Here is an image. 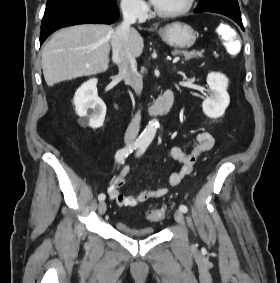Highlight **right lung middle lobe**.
<instances>
[{"mask_svg": "<svg viewBox=\"0 0 280 283\" xmlns=\"http://www.w3.org/2000/svg\"><path fill=\"white\" fill-rule=\"evenodd\" d=\"M115 3L116 0H47L45 13L72 7L107 9Z\"/></svg>", "mask_w": 280, "mask_h": 283, "instance_id": "dd1d6c3e", "label": "right lung middle lobe"}]
</instances>
